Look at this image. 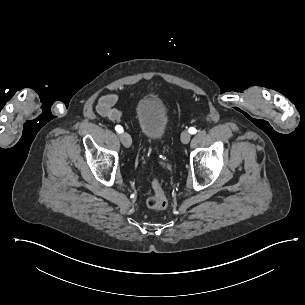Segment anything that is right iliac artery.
<instances>
[{
    "label": "right iliac artery",
    "instance_id": "right-iliac-artery-1",
    "mask_svg": "<svg viewBox=\"0 0 305 305\" xmlns=\"http://www.w3.org/2000/svg\"><path fill=\"white\" fill-rule=\"evenodd\" d=\"M115 130H116L118 133H122V132H123V127L120 126V125H117V126L115 127Z\"/></svg>",
    "mask_w": 305,
    "mask_h": 305
}]
</instances>
